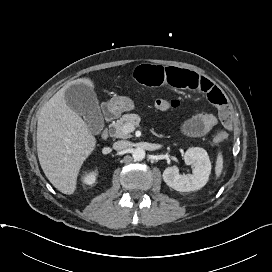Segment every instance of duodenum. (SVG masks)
I'll use <instances>...</instances> for the list:
<instances>
[{
  "label": "duodenum",
  "mask_w": 272,
  "mask_h": 272,
  "mask_svg": "<svg viewBox=\"0 0 272 272\" xmlns=\"http://www.w3.org/2000/svg\"><path fill=\"white\" fill-rule=\"evenodd\" d=\"M115 115H116L115 111L112 108H109V107L105 108L103 110V120H104V122L105 123L111 122L112 120H114ZM101 137L103 139H107V137H108V131H107V129H103L102 130Z\"/></svg>",
  "instance_id": "410a0bca"
}]
</instances>
